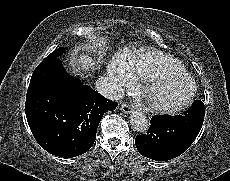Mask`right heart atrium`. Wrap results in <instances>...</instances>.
<instances>
[{
  "mask_svg": "<svg viewBox=\"0 0 230 181\" xmlns=\"http://www.w3.org/2000/svg\"><path fill=\"white\" fill-rule=\"evenodd\" d=\"M108 75L116 91L123 90L129 85L130 80H135L132 75H128L124 70L116 69L112 65L108 67Z\"/></svg>",
  "mask_w": 230,
  "mask_h": 181,
  "instance_id": "1",
  "label": "right heart atrium"
}]
</instances>
